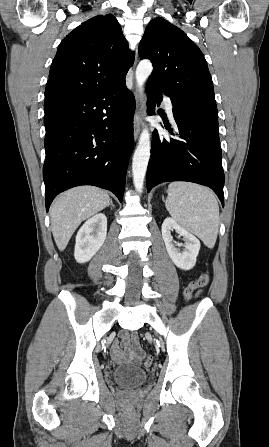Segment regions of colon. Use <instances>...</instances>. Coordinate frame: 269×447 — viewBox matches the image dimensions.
<instances>
[{
	"label": "colon",
	"mask_w": 269,
	"mask_h": 447,
	"mask_svg": "<svg viewBox=\"0 0 269 447\" xmlns=\"http://www.w3.org/2000/svg\"><path fill=\"white\" fill-rule=\"evenodd\" d=\"M210 281V276L208 273L202 274L200 277H198L196 280L192 281L189 285L185 286L184 288V300L188 301L190 297L194 294V292L204 286H206ZM140 363L148 367L152 363L151 357L147 355H142L140 358Z\"/></svg>",
	"instance_id": "1"
}]
</instances>
